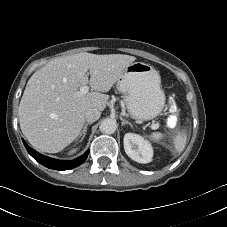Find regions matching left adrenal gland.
<instances>
[{"label":"left adrenal gland","mask_w":227,"mask_h":227,"mask_svg":"<svg viewBox=\"0 0 227 227\" xmlns=\"http://www.w3.org/2000/svg\"><path fill=\"white\" fill-rule=\"evenodd\" d=\"M120 120L122 121V125L129 124L130 126H132L131 123L126 121L122 116H120Z\"/></svg>","instance_id":"left-adrenal-gland-1"}]
</instances>
